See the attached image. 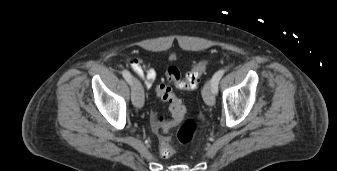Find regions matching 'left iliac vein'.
<instances>
[{"mask_svg":"<svg viewBox=\"0 0 337 171\" xmlns=\"http://www.w3.org/2000/svg\"><path fill=\"white\" fill-rule=\"evenodd\" d=\"M203 98L207 105L213 106L215 104V96L213 93L211 81H207L204 85Z\"/></svg>","mask_w":337,"mask_h":171,"instance_id":"obj_1","label":"left iliac vein"}]
</instances>
